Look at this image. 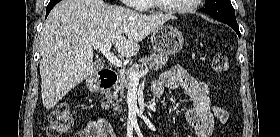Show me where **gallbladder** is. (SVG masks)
<instances>
[{
  "label": "gallbladder",
  "mask_w": 280,
  "mask_h": 137,
  "mask_svg": "<svg viewBox=\"0 0 280 137\" xmlns=\"http://www.w3.org/2000/svg\"><path fill=\"white\" fill-rule=\"evenodd\" d=\"M103 67H104V64L100 60H96L94 62L95 71H99V70L103 69Z\"/></svg>",
  "instance_id": "gallbladder-1"
}]
</instances>
